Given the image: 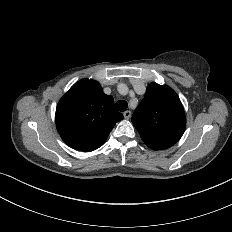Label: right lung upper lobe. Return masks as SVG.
Instances as JSON below:
<instances>
[{
    "label": "right lung upper lobe",
    "mask_w": 232,
    "mask_h": 232,
    "mask_svg": "<svg viewBox=\"0 0 232 232\" xmlns=\"http://www.w3.org/2000/svg\"><path fill=\"white\" fill-rule=\"evenodd\" d=\"M56 126L63 141L79 151L101 147L123 115L114 107L95 80L82 79L60 99L56 108Z\"/></svg>",
    "instance_id": "obj_1"
}]
</instances>
